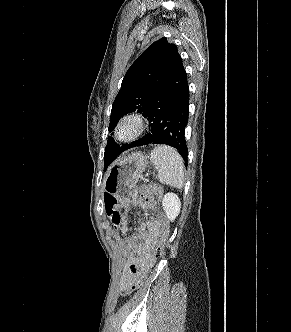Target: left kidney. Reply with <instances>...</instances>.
<instances>
[{
	"instance_id": "obj_1",
	"label": "left kidney",
	"mask_w": 291,
	"mask_h": 332,
	"mask_svg": "<svg viewBox=\"0 0 291 332\" xmlns=\"http://www.w3.org/2000/svg\"><path fill=\"white\" fill-rule=\"evenodd\" d=\"M162 206L167 218L170 221H173L180 213L181 202L176 194L167 193L163 198Z\"/></svg>"
}]
</instances>
